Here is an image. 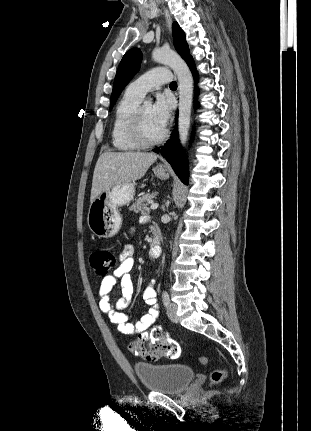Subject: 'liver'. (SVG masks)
Returning <instances> with one entry per match:
<instances>
[{
  "mask_svg": "<svg viewBox=\"0 0 311 431\" xmlns=\"http://www.w3.org/2000/svg\"><path fill=\"white\" fill-rule=\"evenodd\" d=\"M157 158V154H144V152H104L101 154L94 168L91 204L106 188L141 180Z\"/></svg>",
  "mask_w": 311,
  "mask_h": 431,
  "instance_id": "1",
  "label": "liver"
}]
</instances>
